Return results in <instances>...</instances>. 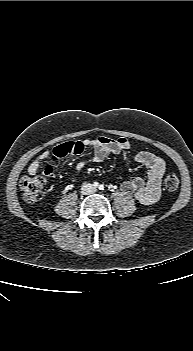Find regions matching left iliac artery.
I'll use <instances>...</instances> for the list:
<instances>
[{
  "instance_id": "left-iliac-artery-1",
  "label": "left iliac artery",
  "mask_w": 193,
  "mask_h": 351,
  "mask_svg": "<svg viewBox=\"0 0 193 351\" xmlns=\"http://www.w3.org/2000/svg\"><path fill=\"white\" fill-rule=\"evenodd\" d=\"M99 189H100V190H104V185H100V186H99Z\"/></svg>"
}]
</instances>
